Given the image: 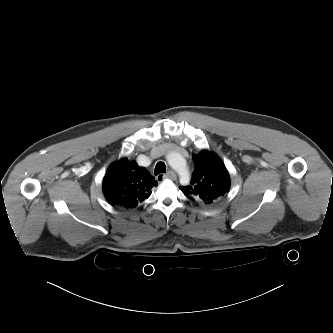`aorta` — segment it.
Here are the masks:
<instances>
[{
	"instance_id": "obj_1",
	"label": "aorta",
	"mask_w": 333,
	"mask_h": 333,
	"mask_svg": "<svg viewBox=\"0 0 333 333\" xmlns=\"http://www.w3.org/2000/svg\"><path fill=\"white\" fill-rule=\"evenodd\" d=\"M168 164L174 169L181 177L187 176V168L183 165L184 158L177 152H170L167 155Z\"/></svg>"
}]
</instances>
